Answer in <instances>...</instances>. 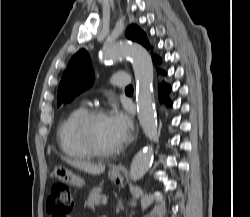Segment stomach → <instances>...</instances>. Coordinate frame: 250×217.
<instances>
[{"mask_svg": "<svg viewBox=\"0 0 250 217\" xmlns=\"http://www.w3.org/2000/svg\"><path fill=\"white\" fill-rule=\"evenodd\" d=\"M53 175L58 180L76 187H82L84 185L83 179L74 175L70 170H68L64 166L55 167ZM109 178L113 182H120L123 179L120 171L109 172Z\"/></svg>", "mask_w": 250, "mask_h": 217, "instance_id": "1", "label": "stomach"}]
</instances>
